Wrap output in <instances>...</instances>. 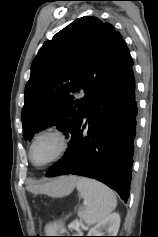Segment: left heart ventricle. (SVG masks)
<instances>
[{
  "label": "left heart ventricle",
  "instance_id": "left-heart-ventricle-1",
  "mask_svg": "<svg viewBox=\"0 0 158 237\" xmlns=\"http://www.w3.org/2000/svg\"><path fill=\"white\" fill-rule=\"evenodd\" d=\"M60 148L59 140L51 135H46L37 140L32 156L36 164L41 165L53 158Z\"/></svg>",
  "mask_w": 158,
  "mask_h": 237
}]
</instances>
